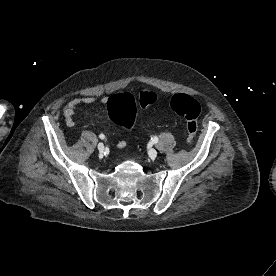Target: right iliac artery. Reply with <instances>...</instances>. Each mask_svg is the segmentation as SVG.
I'll use <instances>...</instances> for the list:
<instances>
[{
    "mask_svg": "<svg viewBox=\"0 0 276 276\" xmlns=\"http://www.w3.org/2000/svg\"><path fill=\"white\" fill-rule=\"evenodd\" d=\"M99 137H100L101 139H104V138H105V135H104V134H100Z\"/></svg>",
    "mask_w": 276,
    "mask_h": 276,
    "instance_id": "82829eb1",
    "label": "right iliac artery"
}]
</instances>
